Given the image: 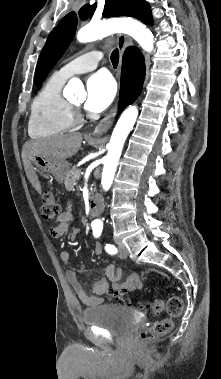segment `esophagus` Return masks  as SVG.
<instances>
[{"instance_id":"34e87169","label":"esophagus","mask_w":221,"mask_h":379,"mask_svg":"<svg viewBox=\"0 0 221 379\" xmlns=\"http://www.w3.org/2000/svg\"><path fill=\"white\" fill-rule=\"evenodd\" d=\"M131 44H132V39L129 36H126L123 34H119L117 36V47L119 49L121 57L123 56L125 48ZM117 104H118V99L116 100V103L113 106V108L111 109V111L103 119L100 120L98 125L95 127L92 135L100 136L109 130V128L111 127V125L114 121V117H115L116 112H117Z\"/></svg>"}]
</instances>
